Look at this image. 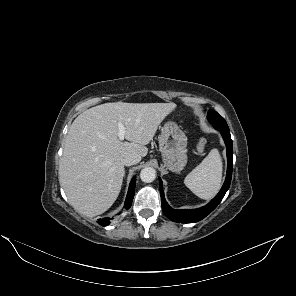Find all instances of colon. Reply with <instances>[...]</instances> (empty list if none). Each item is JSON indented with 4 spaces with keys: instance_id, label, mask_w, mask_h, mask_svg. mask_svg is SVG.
<instances>
[{
    "instance_id": "obj_1",
    "label": "colon",
    "mask_w": 296,
    "mask_h": 296,
    "mask_svg": "<svg viewBox=\"0 0 296 296\" xmlns=\"http://www.w3.org/2000/svg\"><path fill=\"white\" fill-rule=\"evenodd\" d=\"M206 140L204 138L199 139L198 143H197V151L198 152H203L205 147H206Z\"/></svg>"
}]
</instances>
